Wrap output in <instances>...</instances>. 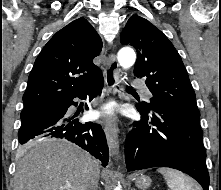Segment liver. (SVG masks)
<instances>
[{
    "mask_svg": "<svg viewBox=\"0 0 221 190\" xmlns=\"http://www.w3.org/2000/svg\"><path fill=\"white\" fill-rule=\"evenodd\" d=\"M20 154L14 190H87L94 164H99L65 140H35Z\"/></svg>",
    "mask_w": 221,
    "mask_h": 190,
    "instance_id": "obj_1",
    "label": "liver"
}]
</instances>
